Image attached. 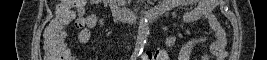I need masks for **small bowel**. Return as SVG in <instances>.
<instances>
[{"mask_svg": "<svg viewBox=\"0 0 267 60\" xmlns=\"http://www.w3.org/2000/svg\"><path fill=\"white\" fill-rule=\"evenodd\" d=\"M102 2L98 0H92L89 2H84L83 4L74 5V9L78 14L77 21H82L84 23L83 27L80 28L77 39L80 43H87L91 38L92 29L102 20L94 15L86 13V6H94L97 3ZM195 5L194 9L189 12H186L183 16V22L191 23L198 20H204L208 23L211 29L210 36H201L199 38L193 39L187 44H185L176 57L177 60H188L190 55L197 47L198 44L206 41H210L209 52L217 60H224L226 57V31L217 18L213 14L214 8L219 4L218 0H201V1H192V0H166L161 4V7L166 10L177 6V5ZM53 24H51V27ZM50 27V28H51ZM166 50H158L156 52H145L142 55V60H171L172 50L176 44V38L174 35H169L166 38ZM202 60L209 59L208 55H203Z\"/></svg>", "mask_w": 267, "mask_h": 60, "instance_id": "small-bowel-1", "label": "small bowel"}]
</instances>
